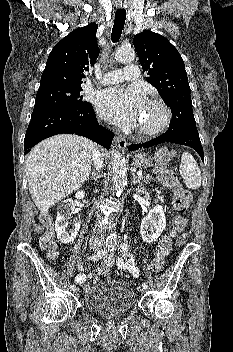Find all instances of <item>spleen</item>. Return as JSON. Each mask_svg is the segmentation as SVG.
Returning a JSON list of instances; mask_svg holds the SVG:
<instances>
[{"label": "spleen", "mask_w": 233, "mask_h": 352, "mask_svg": "<svg viewBox=\"0 0 233 352\" xmlns=\"http://www.w3.org/2000/svg\"><path fill=\"white\" fill-rule=\"evenodd\" d=\"M180 167L186 187L189 189H198L201 186V171L190 153H183Z\"/></svg>", "instance_id": "1"}]
</instances>
